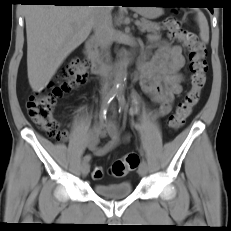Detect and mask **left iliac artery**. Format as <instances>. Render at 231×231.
<instances>
[{
  "label": "left iliac artery",
  "instance_id": "obj_1",
  "mask_svg": "<svg viewBox=\"0 0 231 231\" xmlns=\"http://www.w3.org/2000/svg\"><path fill=\"white\" fill-rule=\"evenodd\" d=\"M117 100H118V103H119V112L122 111L123 109H125L126 107V100H125V97H124V94H123V90L120 89L118 92H117ZM135 128L142 132V129L139 125L135 124ZM144 161V159H143Z\"/></svg>",
  "mask_w": 231,
  "mask_h": 231
}]
</instances>
